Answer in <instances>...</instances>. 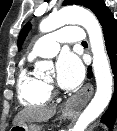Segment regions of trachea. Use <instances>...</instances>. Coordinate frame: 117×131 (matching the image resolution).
Returning <instances> with one entry per match:
<instances>
[{"label":"trachea","instance_id":"3493384b","mask_svg":"<svg viewBox=\"0 0 117 131\" xmlns=\"http://www.w3.org/2000/svg\"><path fill=\"white\" fill-rule=\"evenodd\" d=\"M82 44H87V42H86V41H83Z\"/></svg>","mask_w":117,"mask_h":131}]
</instances>
